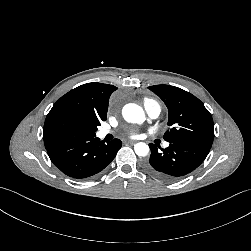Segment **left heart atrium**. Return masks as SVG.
<instances>
[{
	"label": "left heart atrium",
	"mask_w": 251,
	"mask_h": 251,
	"mask_svg": "<svg viewBox=\"0 0 251 251\" xmlns=\"http://www.w3.org/2000/svg\"><path fill=\"white\" fill-rule=\"evenodd\" d=\"M129 136L130 137H137L138 136V132L136 130H132V131H130Z\"/></svg>",
	"instance_id": "obj_1"
}]
</instances>
